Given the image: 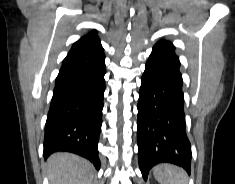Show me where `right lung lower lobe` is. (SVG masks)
<instances>
[{
    "mask_svg": "<svg viewBox=\"0 0 235 184\" xmlns=\"http://www.w3.org/2000/svg\"><path fill=\"white\" fill-rule=\"evenodd\" d=\"M104 53L67 55L55 80L45 124L44 157L67 151L100 168L97 144L105 90Z\"/></svg>",
    "mask_w": 235,
    "mask_h": 184,
    "instance_id": "1",
    "label": "right lung lower lobe"
}]
</instances>
